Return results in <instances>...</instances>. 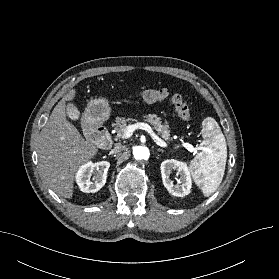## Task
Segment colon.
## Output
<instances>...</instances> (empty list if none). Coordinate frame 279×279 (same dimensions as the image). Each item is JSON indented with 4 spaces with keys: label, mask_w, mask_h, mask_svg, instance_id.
Masks as SVG:
<instances>
[{
    "label": "colon",
    "mask_w": 279,
    "mask_h": 279,
    "mask_svg": "<svg viewBox=\"0 0 279 279\" xmlns=\"http://www.w3.org/2000/svg\"><path fill=\"white\" fill-rule=\"evenodd\" d=\"M138 99L144 103L169 99L176 112L184 121L191 119V112L186 101L179 94H171L166 89H147L138 94Z\"/></svg>",
    "instance_id": "obj_1"
}]
</instances>
